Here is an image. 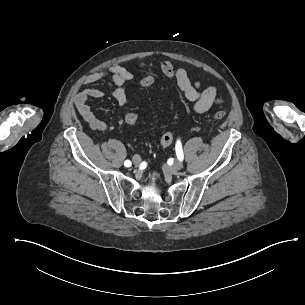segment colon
<instances>
[{"mask_svg":"<svg viewBox=\"0 0 305 305\" xmlns=\"http://www.w3.org/2000/svg\"><path fill=\"white\" fill-rule=\"evenodd\" d=\"M168 77H171V74H168ZM160 78V75L153 73L149 77H145L142 79L140 86L143 89L150 88L155 85L156 81ZM226 116V112L224 111H216L214 113L215 119H223ZM139 119L138 114L135 111H130L124 116V121L127 124H136ZM173 134L171 132H165L162 134L160 138V143L162 146L167 147L170 146L173 142Z\"/></svg>","mask_w":305,"mask_h":305,"instance_id":"1","label":"colon"}]
</instances>
